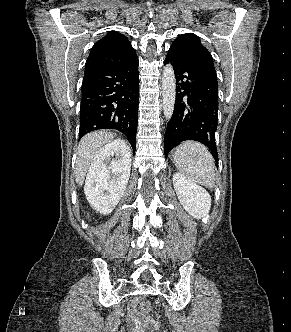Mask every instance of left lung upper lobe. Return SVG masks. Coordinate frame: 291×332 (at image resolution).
<instances>
[{
    "mask_svg": "<svg viewBox=\"0 0 291 332\" xmlns=\"http://www.w3.org/2000/svg\"><path fill=\"white\" fill-rule=\"evenodd\" d=\"M170 48L186 56L206 55L212 58L208 49L201 43L200 38L193 33L181 34Z\"/></svg>",
    "mask_w": 291,
    "mask_h": 332,
    "instance_id": "obj_1",
    "label": "left lung upper lobe"
}]
</instances>
